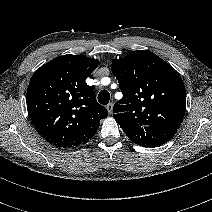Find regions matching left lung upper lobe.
<instances>
[{"instance_id": "obj_1", "label": "left lung upper lobe", "mask_w": 212, "mask_h": 212, "mask_svg": "<svg viewBox=\"0 0 212 212\" xmlns=\"http://www.w3.org/2000/svg\"><path fill=\"white\" fill-rule=\"evenodd\" d=\"M111 69L123 93L113 116L125 133L145 126L180 127L186 92L171 65L148 50H137L113 60Z\"/></svg>"}]
</instances>
